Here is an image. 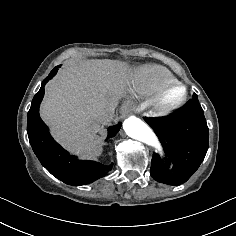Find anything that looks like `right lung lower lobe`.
Listing matches in <instances>:
<instances>
[{"label": "right lung lower lobe", "mask_w": 236, "mask_h": 236, "mask_svg": "<svg viewBox=\"0 0 236 236\" xmlns=\"http://www.w3.org/2000/svg\"><path fill=\"white\" fill-rule=\"evenodd\" d=\"M58 68H54L42 82L41 88L34 96L27 114V133L29 142L41 164L62 182L73 185H85L104 177L112 164L104 165L95 161L77 160L69 155L49 134L48 128L39 116V106L44 96L45 84L55 76ZM121 123L108 130V137L116 135Z\"/></svg>", "instance_id": "1"}]
</instances>
